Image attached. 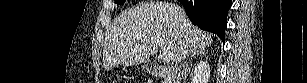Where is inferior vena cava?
<instances>
[{
	"mask_svg": "<svg viewBox=\"0 0 307 83\" xmlns=\"http://www.w3.org/2000/svg\"><path fill=\"white\" fill-rule=\"evenodd\" d=\"M180 12L182 14V16L185 17V11L183 9L180 8ZM188 51H189V45L186 41L183 42L182 46H181V49H180V53H179V61H184L187 54H188Z\"/></svg>",
	"mask_w": 307,
	"mask_h": 83,
	"instance_id": "602c4592",
	"label": "inferior vena cava"
}]
</instances>
